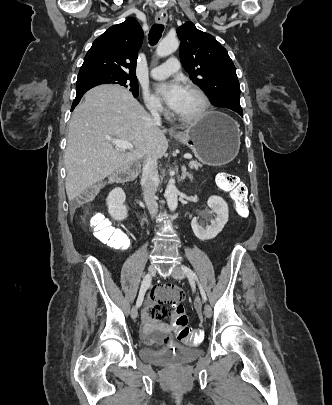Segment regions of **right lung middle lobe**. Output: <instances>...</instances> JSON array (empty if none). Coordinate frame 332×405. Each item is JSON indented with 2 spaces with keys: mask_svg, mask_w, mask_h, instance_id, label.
Segmentation results:
<instances>
[{
  "mask_svg": "<svg viewBox=\"0 0 332 405\" xmlns=\"http://www.w3.org/2000/svg\"><path fill=\"white\" fill-rule=\"evenodd\" d=\"M101 84H118L128 88L134 97H137L139 94L136 76L109 71L79 73L76 82V91L77 93L87 91L90 88Z\"/></svg>",
  "mask_w": 332,
  "mask_h": 405,
  "instance_id": "dd1d6c3e",
  "label": "right lung middle lobe"
}]
</instances>
